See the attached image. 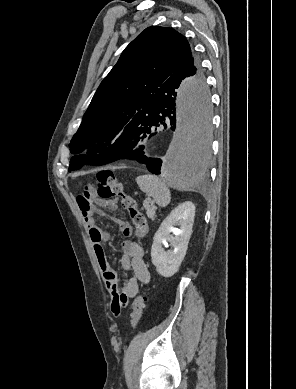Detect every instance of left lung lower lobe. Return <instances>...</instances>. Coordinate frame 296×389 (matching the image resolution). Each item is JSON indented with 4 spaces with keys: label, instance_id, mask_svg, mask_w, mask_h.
I'll list each match as a JSON object with an SVG mask.
<instances>
[{
    "label": "left lung lower lobe",
    "instance_id": "0a47b994",
    "mask_svg": "<svg viewBox=\"0 0 296 389\" xmlns=\"http://www.w3.org/2000/svg\"><path fill=\"white\" fill-rule=\"evenodd\" d=\"M186 77L175 75L168 78L154 95V103L145 114H137L124 127L122 132L101 152L100 165L116 160H135L144 163L148 170L160 174L162 161L150 157L147 152L150 140L156 135L157 127L176 128V95L179 85ZM191 90V102L196 112L193 127L185 130V140L194 166V178L201 177L207 167L210 154V99L204 78L188 79ZM206 125L202 129V125Z\"/></svg>",
    "mask_w": 296,
    "mask_h": 389
}]
</instances>
